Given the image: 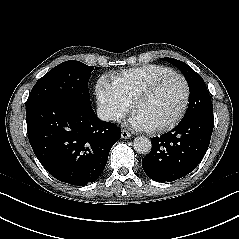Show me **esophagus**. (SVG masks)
<instances>
[{
  "label": "esophagus",
  "mask_w": 239,
  "mask_h": 239,
  "mask_svg": "<svg viewBox=\"0 0 239 239\" xmlns=\"http://www.w3.org/2000/svg\"><path fill=\"white\" fill-rule=\"evenodd\" d=\"M121 136L123 139H129L131 137V134L126 130H122Z\"/></svg>",
  "instance_id": "34e87169"
}]
</instances>
